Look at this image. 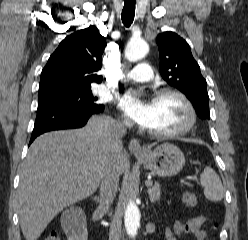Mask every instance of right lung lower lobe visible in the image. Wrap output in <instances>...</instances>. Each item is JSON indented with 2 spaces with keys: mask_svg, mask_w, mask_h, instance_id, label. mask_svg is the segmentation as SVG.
I'll use <instances>...</instances> for the list:
<instances>
[{
  "mask_svg": "<svg viewBox=\"0 0 248 240\" xmlns=\"http://www.w3.org/2000/svg\"><path fill=\"white\" fill-rule=\"evenodd\" d=\"M103 110V105L96 108H79L65 105L38 106L29 144L37 136L48 131L82 127L93 114L101 113Z\"/></svg>",
  "mask_w": 248,
  "mask_h": 240,
  "instance_id": "1",
  "label": "right lung lower lobe"
}]
</instances>
